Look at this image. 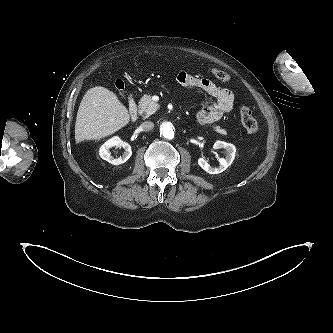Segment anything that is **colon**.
<instances>
[{
	"label": "colon",
	"instance_id": "obj_1",
	"mask_svg": "<svg viewBox=\"0 0 333 333\" xmlns=\"http://www.w3.org/2000/svg\"><path fill=\"white\" fill-rule=\"evenodd\" d=\"M212 74L213 76L218 79L219 81L222 82H228L230 80V76L228 73H226L223 70L220 69H212ZM116 88L119 92H122L124 89V84L122 81H117L116 82ZM240 117H241V122L247 131L252 136L257 135L259 131V125L254 116L252 115V112L250 108L247 106H241L240 107Z\"/></svg>",
	"mask_w": 333,
	"mask_h": 333
}]
</instances>
